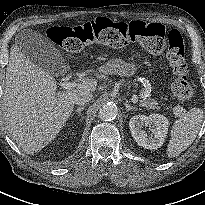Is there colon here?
I'll list each match as a JSON object with an SVG mask.
<instances>
[{
    "label": "colon",
    "mask_w": 205,
    "mask_h": 205,
    "mask_svg": "<svg viewBox=\"0 0 205 205\" xmlns=\"http://www.w3.org/2000/svg\"><path fill=\"white\" fill-rule=\"evenodd\" d=\"M49 38L62 49L77 52L87 43H100L114 48L137 43L151 52L167 49L168 62L176 75L171 89L174 97L181 101L190 100L194 90L187 79L188 66L185 60L184 41L181 33L155 22L132 20L116 22L101 17L75 26H53L48 29Z\"/></svg>",
    "instance_id": "obj_1"
}]
</instances>
